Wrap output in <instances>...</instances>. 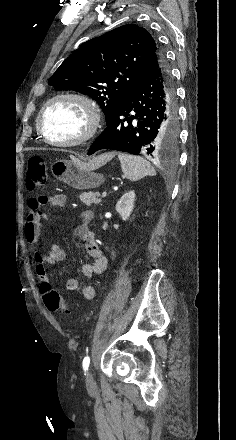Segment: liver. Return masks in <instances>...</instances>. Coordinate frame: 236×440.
Segmentation results:
<instances>
[{"mask_svg": "<svg viewBox=\"0 0 236 440\" xmlns=\"http://www.w3.org/2000/svg\"><path fill=\"white\" fill-rule=\"evenodd\" d=\"M113 156H114L113 153L101 155V156L93 159L87 165L93 169L99 168L102 165H104L107 161H109ZM71 159H76V158L71 156Z\"/></svg>", "mask_w": 236, "mask_h": 440, "instance_id": "6515ba94", "label": "liver"}]
</instances>
